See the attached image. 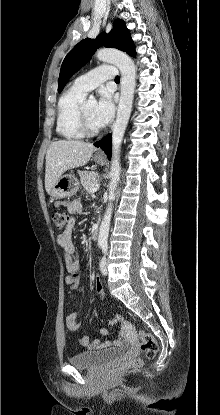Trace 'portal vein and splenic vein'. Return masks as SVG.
<instances>
[{"label": "portal vein and splenic vein", "instance_id": "portal-vein-and-splenic-vein-1", "mask_svg": "<svg viewBox=\"0 0 220 415\" xmlns=\"http://www.w3.org/2000/svg\"><path fill=\"white\" fill-rule=\"evenodd\" d=\"M98 189H99V184H97V185L93 186V187L89 190V192H90L91 194H93V193L97 192V191H98Z\"/></svg>", "mask_w": 220, "mask_h": 415}]
</instances>
